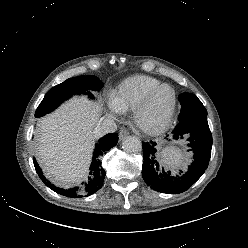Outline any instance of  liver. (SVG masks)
Masks as SVG:
<instances>
[{
	"instance_id": "liver-1",
	"label": "liver",
	"mask_w": 248,
	"mask_h": 248,
	"mask_svg": "<svg viewBox=\"0 0 248 248\" xmlns=\"http://www.w3.org/2000/svg\"><path fill=\"white\" fill-rule=\"evenodd\" d=\"M102 108L85 97H73L40 119L35 156L48 178L63 187L80 183L89 171L94 128Z\"/></svg>"
}]
</instances>
